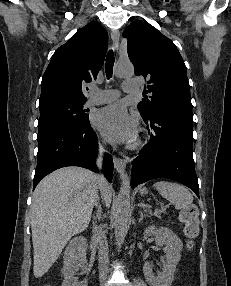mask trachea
I'll use <instances>...</instances> for the list:
<instances>
[{"label": "trachea", "instance_id": "3493384b", "mask_svg": "<svg viewBox=\"0 0 231 286\" xmlns=\"http://www.w3.org/2000/svg\"><path fill=\"white\" fill-rule=\"evenodd\" d=\"M114 62H115L114 53L112 50H109L107 53L106 63H105V72L107 79H110L112 77Z\"/></svg>", "mask_w": 231, "mask_h": 286}]
</instances>
